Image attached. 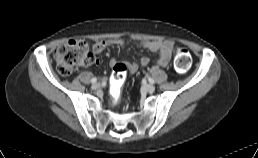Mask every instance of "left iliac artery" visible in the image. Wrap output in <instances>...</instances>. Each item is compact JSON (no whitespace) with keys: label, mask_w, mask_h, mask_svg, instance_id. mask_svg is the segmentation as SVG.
Masks as SVG:
<instances>
[{"label":"left iliac artery","mask_w":258,"mask_h":158,"mask_svg":"<svg viewBox=\"0 0 258 158\" xmlns=\"http://www.w3.org/2000/svg\"><path fill=\"white\" fill-rule=\"evenodd\" d=\"M150 83L154 84V80L151 77H148Z\"/></svg>","instance_id":"obj_1"}]
</instances>
